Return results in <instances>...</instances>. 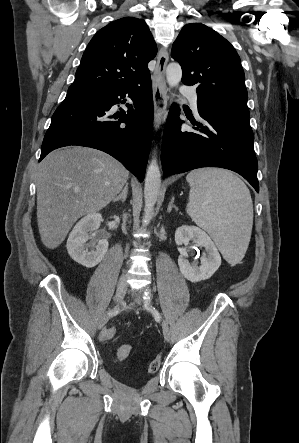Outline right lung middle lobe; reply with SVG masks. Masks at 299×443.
Instances as JSON below:
<instances>
[{"instance_id":"right-lung-middle-lobe-1","label":"right lung middle lobe","mask_w":299,"mask_h":443,"mask_svg":"<svg viewBox=\"0 0 299 443\" xmlns=\"http://www.w3.org/2000/svg\"><path fill=\"white\" fill-rule=\"evenodd\" d=\"M98 91L91 89H83V88H70L68 89L67 95H84V96H92L95 95Z\"/></svg>"}]
</instances>
